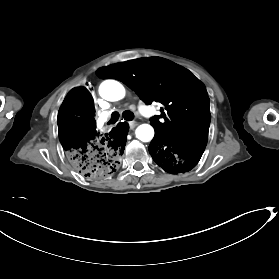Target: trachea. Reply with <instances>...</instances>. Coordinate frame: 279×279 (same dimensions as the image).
Returning <instances> with one entry per match:
<instances>
[{
	"instance_id": "obj_1",
	"label": "trachea",
	"mask_w": 279,
	"mask_h": 279,
	"mask_svg": "<svg viewBox=\"0 0 279 279\" xmlns=\"http://www.w3.org/2000/svg\"><path fill=\"white\" fill-rule=\"evenodd\" d=\"M119 116H120V115H119L118 112L112 113V116H111V119H110V121H109V124H115V123L118 121ZM122 116H123V118H124L125 120H128V121H131V120H133V118H134V115H133V113H132L130 110L124 111L123 114H122Z\"/></svg>"
}]
</instances>
